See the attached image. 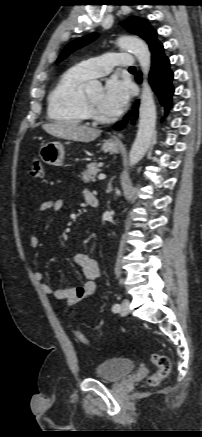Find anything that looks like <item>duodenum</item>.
Listing matches in <instances>:
<instances>
[{"instance_id": "obj_1", "label": "duodenum", "mask_w": 202, "mask_h": 437, "mask_svg": "<svg viewBox=\"0 0 202 437\" xmlns=\"http://www.w3.org/2000/svg\"><path fill=\"white\" fill-rule=\"evenodd\" d=\"M87 204L89 205V207L91 208V209H97L98 208V206H99V201H98V199H97V197L96 196H94L93 194H90L88 197H87Z\"/></svg>"}]
</instances>
